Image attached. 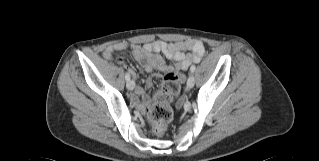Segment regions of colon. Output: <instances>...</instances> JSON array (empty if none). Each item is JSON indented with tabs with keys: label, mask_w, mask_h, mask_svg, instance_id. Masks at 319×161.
I'll list each match as a JSON object with an SVG mask.
<instances>
[{
	"label": "colon",
	"mask_w": 319,
	"mask_h": 161,
	"mask_svg": "<svg viewBox=\"0 0 319 161\" xmlns=\"http://www.w3.org/2000/svg\"><path fill=\"white\" fill-rule=\"evenodd\" d=\"M179 91V72L171 70L164 76L161 87L155 92L153 102L148 107V115L153 124V133L161 135L165 130V124L173 116L172 102Z\"/></svg>",
	"instance_id": "1"
}]
</instances>
